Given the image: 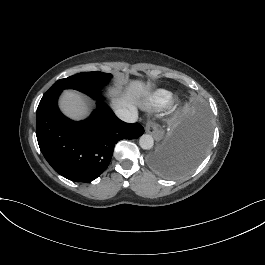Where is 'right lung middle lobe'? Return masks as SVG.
<instances>
[{
  "label": "right lung middle lobe",
  "mask_w": 265,
  "mask_h": 265,
  "mask_svg": "<svg viewBox=\"0 0 265 265\" xmlns=\"http://www.w3.org/2000/svg\"><path fill=\"white\" fill-rule=\"evenodd\" d=\"M111 75L103 72H82L65 79L58 80L47 92L75 89L84 92L98 100L101 86L106 84Z\"/></svg>",
  "instance_id": "dd1d6c3e"
}]
</instances>
